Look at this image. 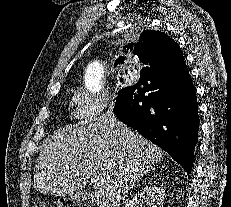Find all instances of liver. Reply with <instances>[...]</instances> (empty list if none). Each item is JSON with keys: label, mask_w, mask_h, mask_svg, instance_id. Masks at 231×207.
I'll use <instances>...</instances> for the list:
<instances>
[{"label": "liver", "mask_w": 231, "mask_h": 207, "mask_svg": "<svg viewBox=\"0 0 231 207\" xmlns=\"http://www.w3.org/2000/svg\"><path fill=\"white\" fill-rule=\"evenodd\" d=\"M162 155L158 146L108 110L45 140L34 168V188L42 194L71 196L91 180V198L98 207H119Z\"/></svg>", "instance_id": "liver-1"}]
</instances>
